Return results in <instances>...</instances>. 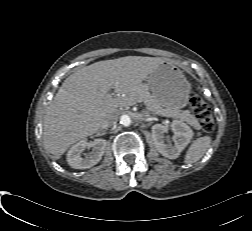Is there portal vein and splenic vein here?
<instances>
[{"instance_id": "18ae733b", "label": "portal vein and splenic vein", "mask_w": 252, "mask_h": 231, "mask_svg": "<svg viewBox=\"0 0 252 231\" xmlns=\"http://www.w3.org/2000/svg\"><path fill=\"white\" fill-rule=\"evenodd\" d=\"M113 93H108L105 96L106 101L113 102L119 101L122 105H132L131 100L128 97L125 98H113Z\"/></svg>"}]
</instances>
